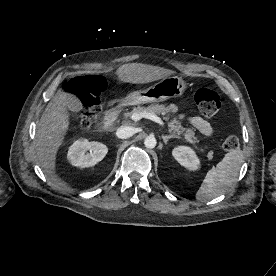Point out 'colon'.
I'll list each match as a JSON object with an SVG mask.
<instances>
[{
	"label": "colon",
	"instance_id": "1",
	"mask_svg": "<svg viewBox=\"0 0 276 276\" xmlns=\"http://www.w3.org/2000/svg\"><path fill=\"white\" fill-rule=\"evenodd\" d=\"M66 89L69 93L79 97L82 102L75 124L83 129L90 128L100 111L99 95L105 89L104 80L96 76L74 78L67 83ZM194 100L199 111L207 117H212L219 111L220 98L210 88H199L195 92ZM223 147L227 151H236L239 148L238 138L235 136L227 137Z\"/></svg>",
	"mask_w": 276,
	"mask_h": 276
}]
</instances>
